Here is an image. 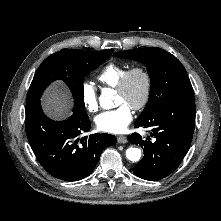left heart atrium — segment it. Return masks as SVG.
Here are the masks:
<instances>
[{"instance_id":"1","label":"left heart atrium","mask_w":221,"mask_h":221,"mask_svg":"<svg viewBox=\"0 0 221 221\" xmlns=\"http://www.w3.org/2000/svg\"><path fill=\"white\" fill-rule=\"evenodd\" d=\"M132 110L127 104H120L113 110L100 113L95 118L98 130L117 134L123 132L132 121Z\"/></svg>"}]
</instances>
